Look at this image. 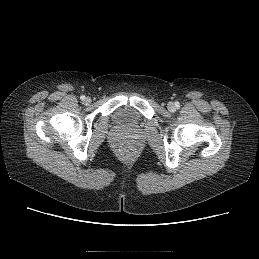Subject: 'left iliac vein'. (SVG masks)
I'll return each instance as SVG.
<instances>
[{
	"mask_svg": "<svg viewBox=\"0 0 259 259\" xmlns=\"http://www.w3.org/2000/svg\"><path fill=\"white\" fill-rule=\"evenodd\" d=\"M168 109H169V111H173L175 109L174 104L173 103H169L168 104Z\"/></svg>",
	"mask_w": 259,
	"mask_h": 259,
	"instance_id": "obj_1",
	"label": "left iliac vein"
}]
</instances>
